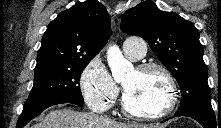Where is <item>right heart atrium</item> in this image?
<instances>
[{
    "label": "right heart atrium",
    "instance_id": "d8ad5b80",
    "mask_svg": "<svg viewBox=\"0 0 221 128\" xmlns=\"http://www.w3.org/2000/svg\"><path fill=\"white\" fill-rule=\"evenodd\" d=\"M81 91L88 106L96 111L110 104L117 93L116 84L104 60L95 56L89 60L80 78Z\"/></svg>",
    "mask_w": 221,
    "mask_h": 128
}]
</instances>
